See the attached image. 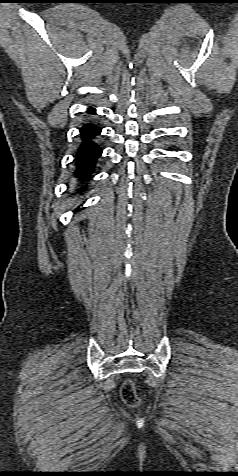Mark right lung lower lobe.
Masks as SVG:
<instances>
[{"label":"right lung lower lobe","mask_w":238,"mask_h":476,"mask_svg":"<svg viewBox=\"0 0 238 476\" xmlns=\"http://www.w3.org/2000/svg\"><path fill=\"white\" fill-rule=\"evenodd\" d=\"M91 110L88 113L94 114L91 113ZM100 133L101 128L91 121L83 124L80 129L79 138L81 142L75 158V175L79 177V180H90L92 178L97 160L102 154V148L96 142Z\"/></svg>","instance_id":"obj_1"}]
</instances>
